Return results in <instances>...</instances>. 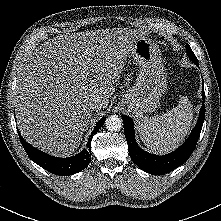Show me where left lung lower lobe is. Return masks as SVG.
<instances>
[{"label": "left lung lower lobe", "instance_id": "obj_1", "mask_svg": "<svg viewBox=\"0 0 221 221\" xmlns=\"http://www.w3.org/2000/svg\"><path fill=\"white\" fill-rule=\"evenodd\" d=\"M202 98L203 103L199 119L190 136L174 152L163 156L150 154L141 149L135 140L133 120L126 115H122L130 157L141 170L153 175H161L174 170L188 160L196 147L205 118L204 86L202 89Z\"/></svg>", "mask_w": 221, "mask_h": 221}]
</instances>
